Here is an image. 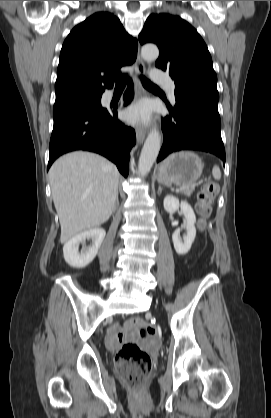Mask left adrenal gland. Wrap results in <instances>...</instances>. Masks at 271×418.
<instances>
[{"mask_svg": "<svg viewBox=\"0 0 271 418\" xmlns=\"http://www.w3.org/2000/svg\"><path fill=\"white\" fill-rule=\"evenodd\" d=\"M162 193V187L159 185L158 186V194L160 195Z\"/></svg>", "mask_w": 271, "mask_h": 418, "instance_id": "a2214340", "label": "left adrenal gland"}]
</instances>
